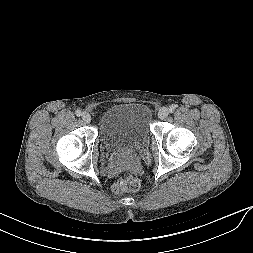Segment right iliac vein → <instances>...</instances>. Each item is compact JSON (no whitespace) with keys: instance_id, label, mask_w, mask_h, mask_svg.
<instances>
[{"instance_id":"right-iliac-vein-1","label":"right iliac vein","mask_w":253,"mask_h":253,"mask_svg":"<svg viewBox=\"0 0 253 253\" xmlns=\"http://www.w3.org/2000/svg\"><path fill=\"white\" fill-rule=\"evenodd\" d=\"M82 120L85 123H90L91 122V115L88 112H83V114H82Z\"/></svg>"}]
</instances>
